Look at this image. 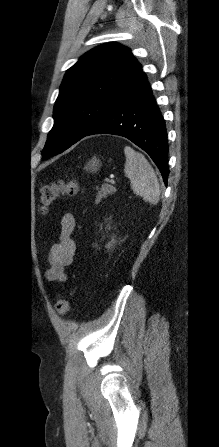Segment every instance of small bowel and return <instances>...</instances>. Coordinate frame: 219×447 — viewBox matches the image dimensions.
I'll list each match as a JSON object with an SVG mask.
<instances>
[{
    "instance_id": "c3829d8e",
    "label": "small bowel",
    "mask_w": 219,
    "mask_h": 447,
    "mask_svg": "<svg viewBox=\"0 0 219 447\" xmlns=\"http://www.w3.org/2000/svg\"><path fill=\"white\" fill-rule=\"evenodd\" d=\"M75 225V218L71 213H65L61 217L59 241L51 247L47 258L49 268L46 277L50 281L67 280L65 270L73 262L76 252V243L72 238Z\"/></svg>"
}]
</instances>
